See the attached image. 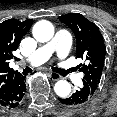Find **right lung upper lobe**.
Segmentation results:
<instances>
[{"label": "right lung upper lobe", "instance_id": "1", "mask_svg": "<svg viewBox=\"0 0 117 117\" xmlns=\"http://www.w3.org/2000/svg\"><path fill=\"white\" fill-rule=\"evenodd\" d=\"M32 22L31 19L23 22L9 19L0 23V96L14 79L22 76L9 67V61L16 58L13 52L18 48L21 38L28 32Z\"/></svg>", "mask_w": 117, "mask_h": 117}]
</instances>
